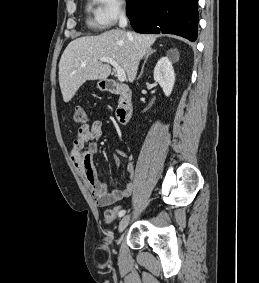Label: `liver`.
I'll use <instances>...</instances> for the list:
<instances>
[{
    "instance_id": "1",
    "label": "liver",
    "mask_w": 259,
    "mask_h": 283,
    "mask_svg": "<svg viewBox=\"0 0 259 283\" xmlns=\"http://www.w3.org/2000/svg\"><path fill=\"white\" fill-rule=\"evenodd\" d=\"M156 39L152 34L113 29L71 41L59 62V84L64 102H69L86 81L107 79L111 67L100 62L102 57L114 59L132 83L140 60Z\"/></svg>"
}]
</instances>
